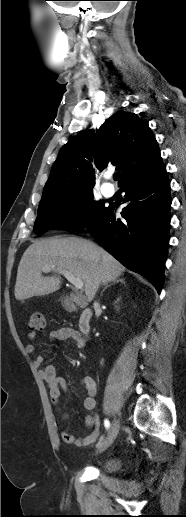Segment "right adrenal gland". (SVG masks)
<instances>
[{
    "label": "right adrenal gland",
    "mask_w": 186,
    "mask_h": 517,
    "mask_svg": "<svg viewBox=\"0 0 186 517\" xmlns=\"http://www.w3.org/2000/svg\"><path fill=\"white\" fill-rule=\"evenodd\" d=\"M118 282H121L123 284H125V281L123 278H120V279H115L113 280L110 284H106L104 289L102 290V293L105 291V289H107V287H110L111 285L115 284V283H118ZM102 295V294H101Z\"/></svg>",
    "instance_id": "1"
}]
</instances>
